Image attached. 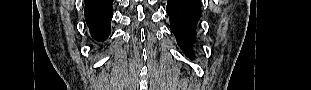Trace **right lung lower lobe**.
I'll list each match as a JSON object with an SVG mask.
<instances>
[{"label":"right lung lower lobe","mask_w":311,"mask_h":90,"mask_svg":"<svg viewBox=\"0 0 311 90\" xmlns=\"http://www.w3.org/2000/svg\"><path fill=\"white\" fill-rule=\"evenodd\" d=\"M113 0H85V19L92 37L105 40L110 34Z\"/></svg>","instance_id":"obj_1"}]
</instances>
